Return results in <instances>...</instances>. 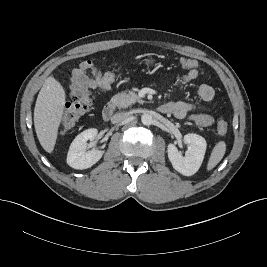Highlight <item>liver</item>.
<instances>
[{"label": "liver", "mask_w": 267, "mask_h": 267, "mask_svg": "<svg viewBox=\"0 0 267 267\" xmlns=\"http://www.w3.org/2000/svg\"><path fill=\"white\" fill-rule=\"evenodd\" d=\"M66 93L53 77H48L36 100L34 126L43 149L52 153L56 144L58 129L64 112Z\"/></svg>", "instance_id": "liver-1"}]
</instances>
